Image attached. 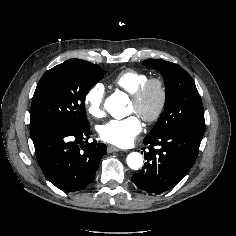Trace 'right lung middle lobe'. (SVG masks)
Here are the masks:
<instances>
[{"label": "right lung middle lobe", "instance_id": "right-lung-middle-lobe-1", "mask_svg": "<svg viewBox=\"0 0 236 236\" xmlns=\"http://www.w3.org/2000/svg\"><path fill=\"white\" fill-rule=\"evenodd\" d=\"M98 65L70 59L41 77L34 92L30 125L50 122L69 127L88 124L85 96L104 77Z\"/></svg>", "mask_w": 236, "mask_h": 236}]
</instances>
